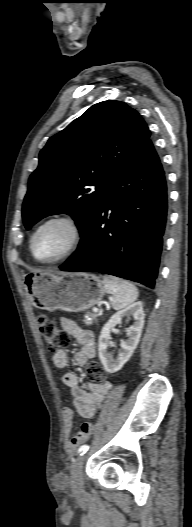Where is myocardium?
I'll list each match as a JSON object with an SVG mask.
<instances>
[{"mask_svg":"<svg viewBox=\"0 0 192 527\" xmlns=\"http://www.w3.org/2000/svg\"><path fill=\"white\" fill-rule=\"evenodd\" d=\"M56 221L64 222L70 227L71 233H72L70 243L66 247V249L63 252H61L59 255L53 258H50V259H41L37 256L35 252V248H34L35 239L42 228ZM82 238H83V231H82V227L79 221L70 214L57 213V214L47 217L46 219H44L42 222H40L36 226L30 238V250L35 260L40 263H44V264L57 263L59 261H62L70 257L79 248L82 242Z\"/></svg>","mask_w":192,"mask_h":527,"instance_id":"obj_1","label":"myocardium"}]
</instances>
